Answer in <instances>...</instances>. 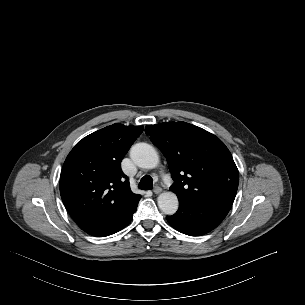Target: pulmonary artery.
I'll list each match as a JSON object with an SVG mask.
<instances>
[{
  "label": "pulmonary artery",
  "instance_id": "pulmonary-artery-1",
  "mask_svg": "<svg viewBox=\"0 0 305 305\" xmlns=\"http://www.w3.org/2000/svg\"><path fill=\"white\" fill-rule=\"evenodd\" d=\"M164 179L168 180L167 176H164Z\"/></svg>",
  "mask_w": 305,
  "mask_h": 305
}]
</instances>
